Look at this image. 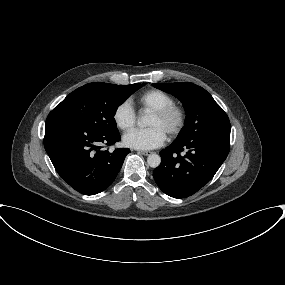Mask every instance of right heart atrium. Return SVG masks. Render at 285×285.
Returning a JSON list of instances; mask_svg holds the SVG:
<instances>
[{
    "instance_id": "right-heart-atrium-1",
    "label": "right heart atrium",
    "mask_w": 285,
    "mask_h": 285,
    "mask_svg": "<svg viewBox=\"0 0 285 285\" xmlns=\"http://www.w3.org/2000/svg\"><path fill=\"white\" fill-rule=\"evenodd\" d=\"M113 120L121 130H129L136 123V113L128 101L118 104L113 112Z\"/></svg>"
}]
</instances>
